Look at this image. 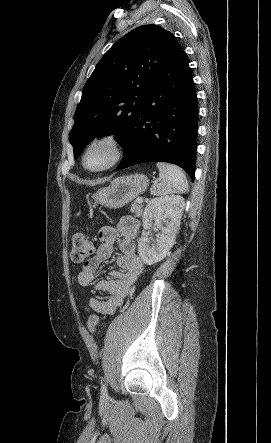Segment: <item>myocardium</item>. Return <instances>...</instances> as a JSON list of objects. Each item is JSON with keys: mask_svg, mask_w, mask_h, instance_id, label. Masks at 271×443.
I'll list each match as a JSON object with an SVG mask.
<instances>
[{"mask_svg": "<svg viewBox=\"0 0 271 443\" xmlns=\"http://www.w3.org/2000/svg\"><path fill=\"white\" fill-rule=\"evenodd\" d=\"M99 142H108L112 146L113 157L106 165L102 166L101 168L94 169V170L87 169L84 166V162H83L85 153L90 146H92L96 143H99ZM124 155H125V144H124V141H123V138L121 137V135L119 133L113 132V131L105 132V133H102L100 135L93 137L85 144V146L83 147L81 154H80V165L85 171H87L89 173H100V172H104L106 170H109V169L113 168L114 166H116L117 164H119L122 161V159L124 158Z\"/></svg>", "mask_w": 271, "mask_h": 443, "instance_id": "obj_1", "label": "myocardium"}]
</instances>
